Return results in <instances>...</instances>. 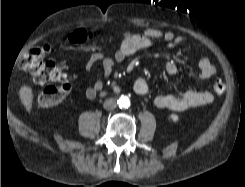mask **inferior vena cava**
Returning <instances> with one entry per match:
<instances>
[{"instance_id":"602c4592","label":"inferior vena cava","mask_w":245,"mask_h":187,"mask_svg":"<svg viewBox=\"0 0 245 187\" xmlns=\"http://www.w3.org/2000/svg\"><path fill=\"white\" fill-rule=\"evenodd\" d=\"M103 107L106 110H113V109L116 108V101L114 99H112V98L107 99V100L104 101Z\"/></svg>"}]
</instances>
